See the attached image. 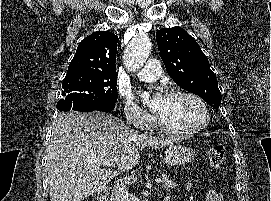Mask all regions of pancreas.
I'll list each match as a JSON object with an SVG mask.
<instances>
[{"label":"pancreas","mask_w":271,"mask_h":201,"mask_svg":"<svg viewBox=\"0 0 271 201\" xmlns=\"http://www.w3.org/2000/svg\"><path fill=\"white\" fill-rule=\"evenodd\" d=\"M161 186L164 190L170 191L171 189H175L177 184L175 181L170 180L166 175L162 177Z\"/></svg>","instance_id":"obj_1"}]
</instances>
